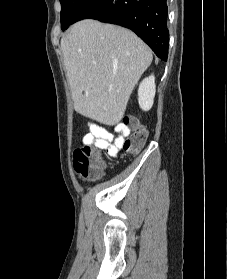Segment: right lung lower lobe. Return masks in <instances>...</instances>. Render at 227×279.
I'll list each match as a JSON object with an SVG mask.
<instances>
[{
	"label": "right lung lower lobe",
	"mask_w": 227,
	"mask_h": 279,
	"mask_svg": "<svg viewBox=\"0 0 227 279\" xmlns=\"http://www.w3.org/2000/svg\"><path fill=\"white\" fill-rule=\"evenodd\" d=\"M167 14L166 0H84L73 23L90 18L129 28L166 61L169 46Z\"/></svg>",
	"instance_id": "right-lung-lower-lobe-1"
}]
</instances>
